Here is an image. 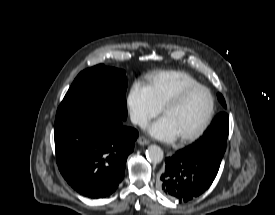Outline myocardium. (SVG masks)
Instances as JSON below:
<instances>
[{
  "instance_id": "1",
  "label": "myocardium",
  "mask_w": 275,
  "mask_h": 215,
  "mask_svg": "<svg viewBox=\"0 0 275 215\" xmlns=\"http://www.w3.org/2000/svg\"><path fill=\"white\" fill-rule=\"evenodd\" d=\"M197 89H203L208 93V95L210 97V108H209V111H208L205 119L203 120V122L200 124V126L196 130H194L192 133H190L188 135L178 137V140L181 143H187V142H191V141L195 140L210 125V123L213 119V116L215 113V107H216V101H215V97H214L212 91L207 86L199 84V83L190 85V86H187V87H184L183 89H181L172 98H170L162 107V114L165 115L167 111H169L170 109H172L175 106H177L178 104H180L182 102V100L188 94H190L191 92H193Z\"/></svg>"
}]
</instances>
